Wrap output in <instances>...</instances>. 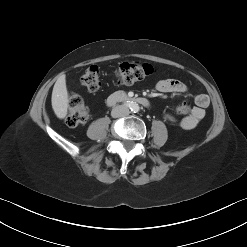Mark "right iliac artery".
Wrapping results in <instances>:
<instances>
[{
  "label": "right iliac artery",
  "instance_id": "82829eb1",
  "mask_svg": "<svg viewBox=\"0 0 247 247\" xmlns=\"http://www.w3.org/2000/svg\"><path fill=\"white\" fill-rule=\"evenodd\" d=\"M125 106L129 107L130 109L133 107V104L132 103H129V102H126L124 103Z\"/></svg>",
  "mask_w": 247,
  "mask_h": 247
}]
</instances>
